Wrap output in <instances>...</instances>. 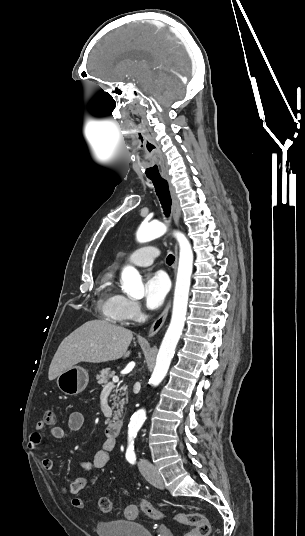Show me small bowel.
Instances as JSON below:
<instances>
[{"label": "small bowel", "instance_id": "1", "mask_svg": "<svg viewBox=\"0 0 305 536\" xmlns=\"http://www.w3.org/2000/svg\"><path fill=\"white\" fill-rule=\"evenodd\" d=\"M85 422L84 415L79 411H74L69 415L67 428L60 426L51 427L50 432L54 439L62 442L69 436V432L80 430ZM46 427H34L29 438V446L31 450L37 451L42 443V433ZM115 448V441L105 439L102 442L100 450H98L91 460H83L80 462V467L86 471H96L104 468L109 463V455ZM41 465L45 470L52 471L54 462L50 458H43ZM87 485V479L80 477L72 481L67 487L63 488L66 494L75 495L82 491Z\"/></svg>", "mask_w": 305, "mask_h": 536}]
</instances>
